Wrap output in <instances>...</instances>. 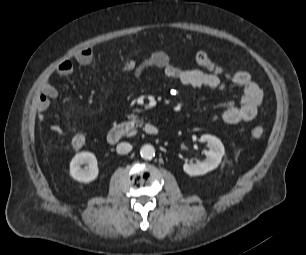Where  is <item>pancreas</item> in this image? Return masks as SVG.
Instances as JSON below:
<instances>
[{"label":"pancreas","mask_w":306,"mask_h":255,"mask_svg":"<svg viewBox=\"0 0 306 255\" xmlns=\"http://www.w3.org/2000/svg\"><path fill=\"white\" fill-rule=\"evenodd\" d=\"M130 120H132L137 126H141L143 124V120L139 119L137 115L131 114L128 116Z\"/></svg>","instance_id":"pancreas-1"}]
</instances>
